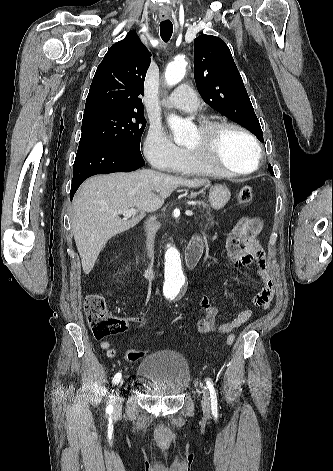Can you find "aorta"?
<instances>
[{"instance_id":"762f6f07","label":"aorta","mask_w":333,"mask_h":471,"mask_svg":"<svg viewBox=\"0 0 333 471\" xmlns=\"http://www.w3.org/2000/svg\"><path fill=\"white\" fill-rule=\"evenodd\" d=\"M187 62L183 56H177L170 62L165 71V80L168 86L178 84L185 75ZM169 126L174 134V141L181 144L188 139L193 125L177 115H170ZM184 273L179 251L168 245L165 252V282L164 294L167 296H179L184 292Z\"/></svg>"}]
</instances>
